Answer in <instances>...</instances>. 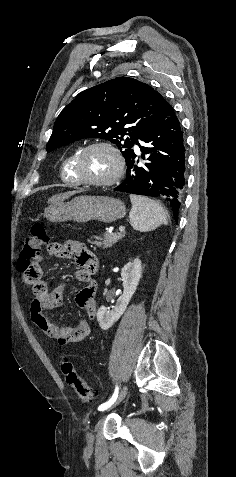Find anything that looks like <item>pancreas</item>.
Returning a JSON list of instances; mask_svg holds the SVG:
<instances>
[{"instance_id": "1", "label": "pancreas", "mask_w": 236, "mask_h": 477, "mask_svg": "<svg viewBox=\"0 0 236 477\" xmlns=\"http://www.w3.org/2000/svg\"><path fill=\"white\" fill-rule=\"evenodd\" d=\"M124 237L123 233H105L101 236H95V241H89L91 244L103 249L111 247Z\"/></svg>"}]
</instances>
